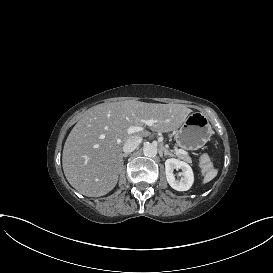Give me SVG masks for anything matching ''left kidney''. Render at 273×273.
Segmentation results:
<instances>
[{"instance_id": "obj_1", "label": "left kidney", "mask_w": 273, "mask_h": 273, "mask_svg": "<svg viewBox=\"0 0 273 273\" xmlns=\"http://www.w3.org/2000/svg\"><path fill=\"white\" fill-rule=\"evenodd\" d=\"M166 178L170 186L177 191H187L191 189L194 184V172L192 167L185 161H180L177 158H170L165 162ZM181 169L183 179L177 180L175 178L174 170Z\"/></svg>"}]
</instances>
